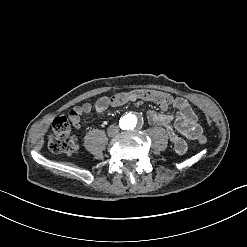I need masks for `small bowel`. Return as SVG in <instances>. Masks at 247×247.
I'll list each match as a JSON object with an SVG mask.
<instances>
[{"label": "small bowel", "instance_id": "obj_1", "mask_svg": "<svg viewBox=\"0 0 247 247\" xmlns=\"http://www.w3.org/2000/svg\"><path fill=\"white\" fill-rule=\"evenodd\" d=\"M110 105L112 104L109 96H102L94 102L77 105L69 112L70 123L74 129L79 130L83 115L95 112L103 116ZM172 106L177 110L176 114L149 110L146 112V119L151 125L164 126L175 152L178 155H184L188 150V142L198 138V134L202 132V126L197 123V117L187 100L176 97Z\"/></svg>", "mask_w": 247, "mask_h": 247}]
</instances>
